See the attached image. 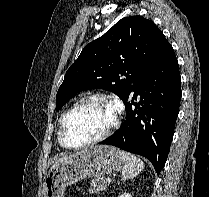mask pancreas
<instances>
[{"label": "pancreas", "instance_id": "cf45deb5", "mask_svg": "<svg viewBox=\"0 0 209 197\" xmlns=\"http://www.w3.org/2000/svg\"><path fill=\"white\" fill-rule=\"evenodd\" d=\"M109 183L105 178H97L93 179L90 182L89 193H98L100 191H104L108 188Z\"/></svg>", "mask_w": 209, "mask_h": 197}]
</instances>
